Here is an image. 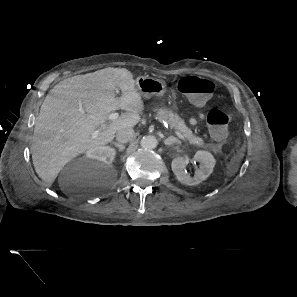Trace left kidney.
<instances>
[{"label":"left kidney","mask_w":297,"mask_h":297,"mask_svg":"<svg viewBox=\"0 0 297 297\" xmlns=\"http://www.w3.org/2000/svg\"><path fill=\"white\" fill-rule=\"evenodd\" d=\"M193 160L200 162V168L195 171L194 176L186 171L185 167L188 161L184 157H177L173 159L171 168L177 180L183 184L194 186L206 180L213 172L215 166V158L213 155L204 150L197 151L193 156Z\"/></svg>","instance_id":"left-kidney-1"}]
</instances>
